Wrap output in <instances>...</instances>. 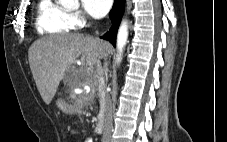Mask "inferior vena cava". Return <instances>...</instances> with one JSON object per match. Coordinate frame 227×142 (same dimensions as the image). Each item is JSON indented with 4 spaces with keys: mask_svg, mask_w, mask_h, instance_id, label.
Masks as SVG:
<instances>
[{
    "mask_svg": "<svg viewBox=\"0 0 227 142\" xmlns=\"http://www.w3.org/2000/svg\"><path fill=\"white\" fill-rule=\"evenodd\" d=\"M106 60V59H105ZM104 70L108 71V63L105 62ZM115 107V102L107 95L106 98V107H105V114H104V128H103V135H102V142H110L112 131H113V111Z\"/></svg>",
    "mask_w": 227,
    "mask_h": 142,
    "instance_id": "602c4592",
    "label": "inferior vena cava"
}]
</instances>
